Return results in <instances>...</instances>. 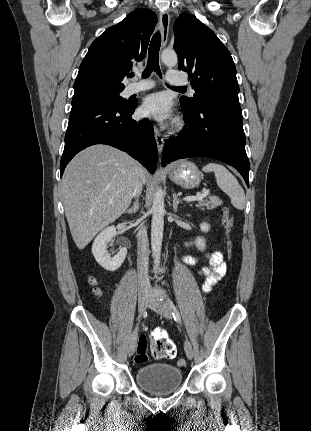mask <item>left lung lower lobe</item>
Listing matches in <instances>:
<instances>
[{
    "instance_id": "left-lung-lower-lobe-1",
    "label": "left lung lower lobe",
    "mask_w": 311,
    "mask_h": 431,
    "mask_svg": "<svg viewBox=\"0 0 311 431\" xmlns=\"http://www.w3.org/2000/svg\"><path fill=\"white\" fill-rule=\"evenodd\" d=\"M186 128L166 141L162 165L188 157H211L233 166L249 187L242 111L238 100L219 99L195 111L183 109Z\"/></svg>"
}]
</instances>
